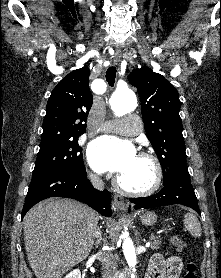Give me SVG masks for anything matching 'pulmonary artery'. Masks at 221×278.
Here are the masks:
<instances>
[{"label": "pulmonary artery", "mask_w": 221, "mask_h": 278, "mask_svg": "<svg viewBox=\"0 0 221 278\" xmlns=\"http://www.w3.org/2000/svg\"><path fill=\"white\" fill-rule=\"evenodd\" d=\"M103 130L122 135H137L142 131V125L137 117H126L124 120H113L103 126Z\"/></svg>", "instance_id": "e3ab8cb5"}]
</instances>
